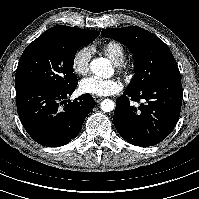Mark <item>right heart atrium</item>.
<instances>
[{"label": "right heart atrium", "mask_w": 199, "mask_h": 199, "mask_svg": "<svg viewBox=\"0 0 199 199\" xmlns=\"http://www.w3.org/2000/svg\"><path fill=\"white\" fill-rule=\"evenodd\" d=\"M91 50L87 47L78 49L71 59V69L77 76H84L89 69Z\"/></svg>", "instance_id": "right-heart-atrium-1"}]
</instances>
